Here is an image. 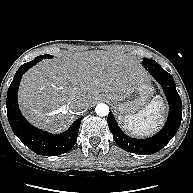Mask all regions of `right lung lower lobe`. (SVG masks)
<instances>
[{
    "label": "right lung lower lobe",
    "instance_id": "right-lung-lower-lobe-1",
    "mask_svg": "<svg viewBox=\"0 0 193 193\" xmlns=\"http://www.w3.org/2000/svg\"><path fill=\"white\" fill-rule=\"evenodd\" d=\"M34 59L23 64L15 73L7 94V115L10 126L15 135L33 152L43 156H55L70 151L76 143L81 118L76 120L64 133L53 135L32 126L21 114L17 92L23 74L38 63Z\"/></svg>",
    "mask_w": 193,
    "mask_h": 193
}]
</instances>
